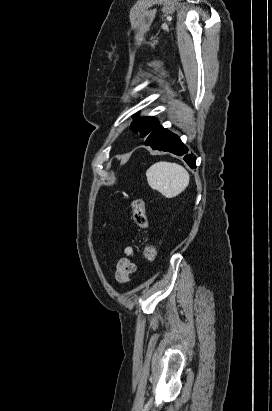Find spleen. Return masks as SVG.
<instances>
[{"label":"spleen","instance_id":"spleen-1","mask_svg":"<svg viewBox=\"0 0 272 411\" xmlns=\"http://www.w3.org/2000/svg\"><path fill=\"white\" fill-rule=\"evenodd\" d=\"M146 176L149 186L166 198H174L182 193L188 186L190 178L183 166L165 161L150 166Z\"/></svg>","mask_w":272,"mask_h":411}]
</instances>
